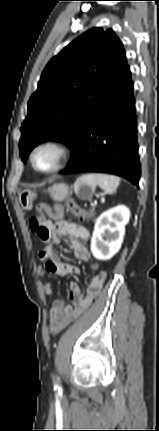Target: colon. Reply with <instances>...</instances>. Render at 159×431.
<instances>
[{"label":"colon","mask_w":159,"mask_h":431,"mask_svg":"<svg viewBox=\"0 0 159 431\" xmlns=\"http://www.w3.org/2000/svg\"><path fill=\"white\" fill-rule=\"evenodd\" d=\"M66 208L76 216L85 217L87 215L86 212H84L75 202L71 200L55 205L54 209H52L46 203H39L36 207L38 216L32 218L30 221L32 231L36 232L37 234L45 233L44 223L47 220L46 216L54 219L61 218ZM95 268H98V263H93L92 271H95Z\"/></svg>","instance_id":"colon-1"}]
</instances>
